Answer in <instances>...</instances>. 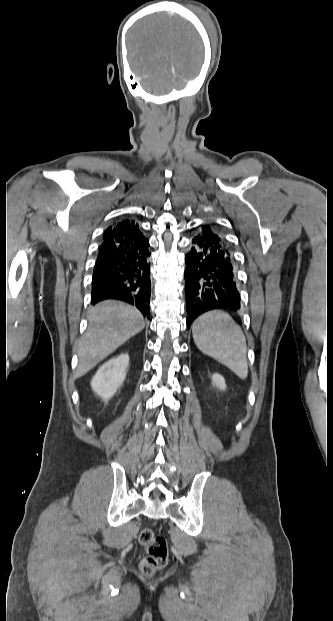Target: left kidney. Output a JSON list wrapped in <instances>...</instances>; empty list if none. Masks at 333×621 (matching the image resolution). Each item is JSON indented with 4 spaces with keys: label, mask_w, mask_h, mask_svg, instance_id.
<instances>
[{
    "label": "left kidney",
    "mask_w": 333,
    "mask_h": 621,
    "mask_svg": "<svg viewBox=\"0 0 333 621\" xmlns=\"http://www.w3.org/2000/svg\"><path fill=\"white\" fill-rule=\"evenodd\" d=\"M212 383L214 386H216L220 390L226 389L225 380L220 374L215 373L212 375Z\"/></svg>",
    "instance_id": "left-kidney-1"
}]
</instances>
